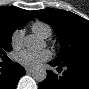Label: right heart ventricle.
Segmentation results:
<instances>
[{
    "label": "right heart ventricle",
    "mask_w": 89,
    "mask_h": 89,
    "mask_svg": "<svg viewBox=\"0 0 89 89\" xmlns=\"http://www.w3.org/2000/svg\"><path fill=\"white\" fill-rule=\"evenodd\" d=\"M32 31L42 38H48L52 33L50 26L43 22L34 23Z\"/></svg>",
    "instance_id": "right-heart-ventricle-1"
}]
</instances>
